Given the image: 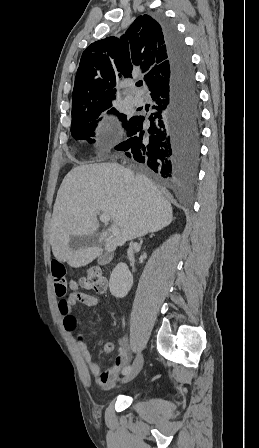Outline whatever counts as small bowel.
Instances as JSON below:
<instances>
[{
  "instance_id": "obj_1",
  "label": "small bowel",
  "mask_w": 259,
  "mask_h": 448,
  "mask_svg": "<svg viewBox=\"0 0 259 448\" xmlns=\"http://www.w3.org/2000/svg\"><path fill=\"white\" fill-rule=\"evenodd\" d=\"M51 275L54 283L55 293L58 297H63L66 294L67 286L70 293L66 298H62L58 304L59 314L62 317L63 326L66 330L74 332L77 328V321L73 315V309L78 304H83L88 307H94L98 304V299L92 295L83 293L79 290V285L75 280L66 279V268L64 264L58 259H53L51 262ZM77 348L87 364V373L85 379L90 380L94 377V381L98 387L103 390L113 388L119 380L120 372L129 362V345L125 338L120 340L117 357L112 367L102 369L92 358L90 349L83 339L77 342ZM114 351L112 342L107 341L104 344V352L111 354Z\"/></svg>"
}]
</instances>
